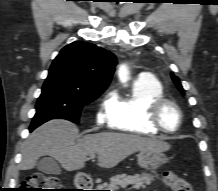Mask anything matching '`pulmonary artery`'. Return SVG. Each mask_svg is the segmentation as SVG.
<instances>
[{"instance_id": "e3ab8cb5", "label": "pulmonary artery", "mask_w": 218, "mask_h": 191, "mask_svg": "<svg viewBox=\"0 0 218 191\" xmlns=\"http://www.w3.org/2000/svg\"><path fill=\"white\" fill-rule=\"evenodd\" d=\"M139 78L140 79H143V80H149V79H152L153 78V75L151 72L149 71H142L140 74H139Z\"/></svg>"}]
</instances>
